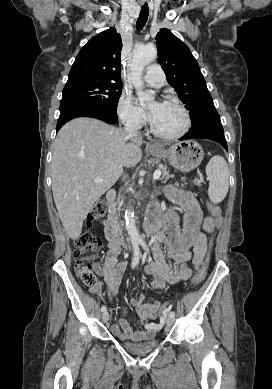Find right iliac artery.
Masks as SVG:
<instances>
[{"label": "right iliac artery", "mask_w": 272, "mask_h": 389, "mask_svg": "<svg viewBox=\"0 0 272 389\" xmlns=\"http://www.w3.org/2000/svg\"><path fill=\"white\" fill-rule=\"evenodd\" d=\"M133 248H134V256H133V261H132L131 267L135 268L138 265V263H139L140 250H139V246H138V244L136 242L133 244ZM101 311L102 312L106 311V306L103 305L101 307Z\"/></svg>", "instance_id": "obj_1"}]
</instances>
